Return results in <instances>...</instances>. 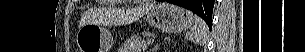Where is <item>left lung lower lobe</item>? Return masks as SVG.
I'll return each mask as SVG.
<instances>
[{"mask_svg": "<svg viewBox=\"0 0 305 52\" xmlns=\"http://www.w3.org/2000/svg\"><path fill=\"white\" fill-rule=\"evenodd\" d=\"M160 1V0H158ZM169 3H173L182 7H185L197 15H199L211 29L212 24L205 20L212 15L213 6L215 0H166Z\"/></svg>", "mask_w": 305, "mask_h": 52, "instance_id": "obj_1", "label": "left lung lower lobe"}]
</instances>
